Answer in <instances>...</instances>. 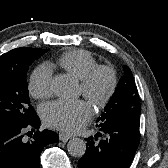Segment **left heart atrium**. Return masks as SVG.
<instances>
[{
    "label": "left heart atrium",
    "instance_id": "obj_1",
    "mask_svg": "<svg viewBox=\"0 0 168 168\" xmlns=\"http://www.w3.org/2000/svg\"><path fill=\"white\" fill-rule=\"evenodd\" d=\"M91 109L84 100H57L44 107L43 119L51 128L67 133L82 129L91 118Z\"/></svg>",
    "mask_w": 168,
    "mask_h": 168
}]
</instances>
